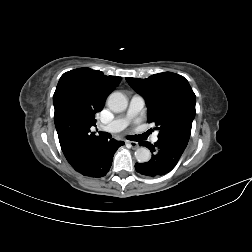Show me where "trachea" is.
I'll use <instances>...</instances> for the list:
<instances>
[{
  "label": "trachea",
  "mask_w": 252,
  "mask_h": 252,
  "mask_svg": "<svg viewBox=\"0 0 252 252\" xmlns=\"http://www.w3.org/2000/svg\"><path fill=\"white\" fill-rule=\"evenodd\" d=\"M151 132L152 131L149 130L145 134H142V135L129 136L128 139L132 141H141L143 139H146ZM99 135L102 137L111 138V134L107 132H99Z\"/></svg>",
  "instance_id": "1"
}]
</instances>
